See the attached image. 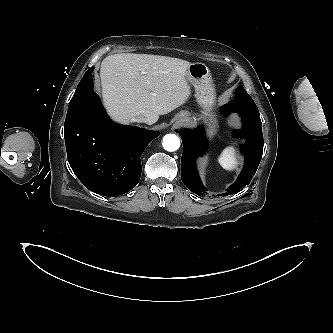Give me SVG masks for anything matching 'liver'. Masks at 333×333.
I'll return each instance as SVG.
<instances>
[{
    "label": "liver",
    "instance_id": "1",
    "mask_svg": "<svg viewBox=\"0 0 333 333\" xmlns=\"http://www.w3.org/2000/svg\"><path fill=\"white\" fill-rule=\"evenodd\" d=\"M190 62L159 55L122 53L107 56L101 63L100 78L104 106L121 123L137 116L158 121L183 105L191 94L187 83ZM145 72V74H142Z\"/></svg>",
    "mask_w": 333,
    "mask_h": 333
}]
</instances>
